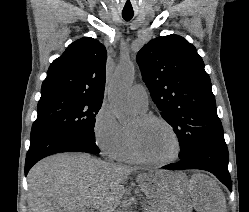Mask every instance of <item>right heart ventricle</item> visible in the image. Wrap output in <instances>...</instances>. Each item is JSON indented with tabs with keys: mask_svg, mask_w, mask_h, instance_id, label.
<instances>
[{
	"mask_svg": "<svg viewBox=\"0 0 249 212\" xmlns=\"http://www.w3.org/2000/svg\"><path fill=\"white\" fill-rule=\"evenodd\" d=\"M122 160H124L126 162H133V158H132V156L130 154L128 145H127V147L125 148V150H124V152L122 154Z\"/></svg>",
	"mask_w": 249,
	"mask_h": 212,
	"instance_id": "right-heart-ventricle-1",
	"label": "right heart ventricle"
}]
</instances>
